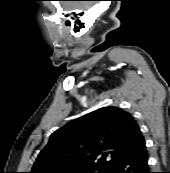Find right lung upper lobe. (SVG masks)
Returning a JSON list of instances; mask_svg holds the SVG:
<instances>
[{
	"label": "right lung upper lobe",
	"mask_w": 170,
	"mask_h": 173,
	"mask_svg": "<svg viewBox=\"0 0 170 173\" xmlns=\"http://www.w3.org/2000/svg\"><path fill=\"white\" fill-rule=\"evenodd\" d=\"M143 145L144 137L130 113L118 107H104L56 130L31 173L106 169Z\"/></svg>",
	"instance_id": "obj_1"
}]
</instances>
